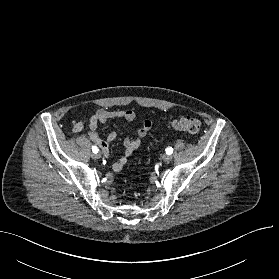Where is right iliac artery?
I'll return each mask as SVG.
<instances>
[{"label":"right iliac artery","mask_w":279,"mask_h":279,"mask_svg":"<svg viewBox=\"0 0 279 279\" xmlns=\"http://www.w3.org/2000/svg\"><path fill=\"white\" fill-rule=\"evenodd\" d=\"M92 151H93L94 153H97V152H98L97 146H92Z\"/></svg>","instance_id":"1"}]
</instances>
